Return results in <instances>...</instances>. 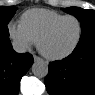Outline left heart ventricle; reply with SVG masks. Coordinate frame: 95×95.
Instances as JSON below:
<instances>
[{
  "instance_id": "b2bd125f",
  "label": "left heart ventricle",
  "mask_w": 95,
  "mask_h": 95,
  "mask_svg": "<svg viewBox=\"0 0 95 95\" xmlns=\"http://www.w3.org/2000/svg\"><path fill=\"white\" fill-rule=\"evenodd\" d=\"M79 25L75 19L61 22L43 41L42 47L48 54L57 55L69 50L77 40Z\"/></svg>"
}]
</instances>
